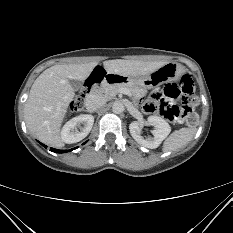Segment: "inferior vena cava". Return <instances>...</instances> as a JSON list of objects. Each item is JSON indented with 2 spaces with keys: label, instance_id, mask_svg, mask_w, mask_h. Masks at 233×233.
Segmentation results:
<instances>
[{
  "label": "inferior vena cava",
  "instance_id": "602c4592",
  "mask_svg": "<svg viewBox=\"0 0 233 233\" xmlns=\"http://www.w3.org/2000/svg\"><path fill=\"white\" fill-rule=\"evenodd\" d=\"M106 99L98 94H89L85 98V107L89 111H95L98 108L104 106Z\"/></svg>",
  "mask_w": 233,
  "mask_h": 233
}]
</instances>
